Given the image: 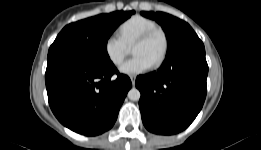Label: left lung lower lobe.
Here are the masks:
<instances>
[{"mask_svg": "<svg viewBox=\"0 0 261 150\" xmlns=\"http://www.w3.org/2000/svg\"><path fill=\"white\" fill-rule=\"evenodd\" d=\"M207 75L204 45L193 34L167 53L157 71L138 76L139 107L146 129L162 135L186 129L203 106Z\"/></svg>", "mask_w": 261, "mask_h": 150, "instance_id": "obj_1", "label": "left lung lower lobe"}]
</instances>
